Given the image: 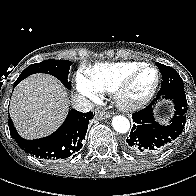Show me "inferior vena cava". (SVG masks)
I'll list each match as a JSON object with an SVG mask.
<instances>
[{
  "label": "inferior vena cava",
  "instance_id": "1",
  "mask_svg": "<svg viewBox=\"0 0 196 196\" xmlns=\"http://www.w3.org/2000/svg\"><path fill=\"white\" fill-rule=\"evenodd\" d=\"M72 107L79 112H89L93 109V103L82 95H75L72 98Z\"/></svg>",
  "mask_w": 196,
  "mask_h": 196
}]
</instances>
